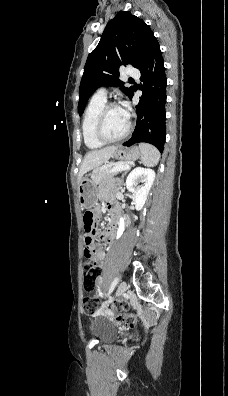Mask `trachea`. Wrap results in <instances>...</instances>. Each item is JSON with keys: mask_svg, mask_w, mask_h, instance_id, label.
Listing matches in <instances>:
<instances>
[{"mask_svg": "<svg viewBox=\"0 0 228 396\" xmlns=\"http://www.w3.org/2000/svg\"><path fill=\"white\" fill-rule=\"evenodd\" d=\"M129 81H132V82H133L134 80H133V79H130Z\"/></svg>", "mask_w": 228, "mask_h": 396, "instance_id": "3493384b", "label": "trachea"}]
</instances>
